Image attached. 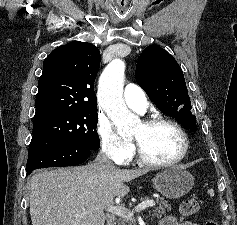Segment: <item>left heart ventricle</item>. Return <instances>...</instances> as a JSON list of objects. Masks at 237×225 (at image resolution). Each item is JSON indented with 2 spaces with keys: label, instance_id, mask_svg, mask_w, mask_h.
<instances>
[{
  "label": "left heart ventricle",
  "instance_id": "1",
  "mask_svg": "<svg viewBox=\"0 0 237 225\" xmlns=\"http://www.w3.org/2000/svg\"><path fill=\"white\" fill-rule=\"evenodd\" d=\"M144 155L152 160L168 161L176 158L183 148L178 132L168 125L146 128L139 124L130 135Z\"/></svg>",
  "mask_w": 237,
  "mask_h": 225
}]
</instances>
